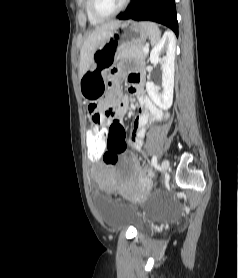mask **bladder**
Masks as SVG:
<instances>
[{"label": "bladder", "instance_id": "1", "mask_svg": "<svg viewBox=\"0 0 238 278\" xmlns=\"http://www.w3.org/2000/svg\"><path fill=\"white\" fill-rule=\"evenodd\" d=\"M95 204L102 222L108 228L120 229L133 226L138 230H142L143 222L133 206L129 204H115V199L106 196H97Z\"/></svg>", "mask_w": 238, "mask_h": 278}]
</instances>
